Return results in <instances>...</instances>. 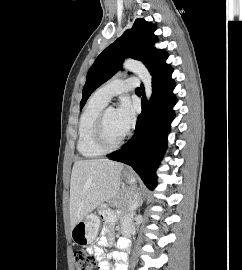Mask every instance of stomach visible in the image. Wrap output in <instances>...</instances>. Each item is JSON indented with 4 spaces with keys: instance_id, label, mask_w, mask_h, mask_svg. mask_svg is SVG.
Listing matches in <instances>:
<instances>
[{
    "instance_id": "1",
    "label": "stomach",
    "mask_w": 242,
    "mask_h": 270,
    "mask_svg": "<svg viewBox=\"0 0 242 270\" xmlns=\"http://www.w3.org/2000/svg\"><path fill=\"white\" fill-rule=\"evenodd\" d=\"M126 182L133 187L136 183L135 177L130 173H125ZM134 193V192H133ZM100 219L95 214L87 215L71 229V239L77 245L91 244L97 237Z\"/></svg>"
}]
</instances>
